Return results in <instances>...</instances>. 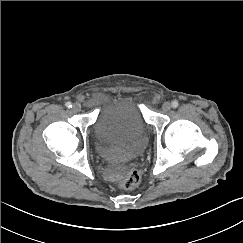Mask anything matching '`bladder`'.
I'll use <instances>...</instances> for the list:
<instances>
[{"instance_id":"bladder-1","label":"bladder","mask_w":243,"mask_h":243,"mask_svg":"<svg viewBox=\"0 0 243 243\" xmlns=\"http://www.w3.org/2000/svg\"><path fill=\"white\" fill-rule=\"evenodd\" d=\"M98 155L109 163L125 165L147 146V129L138 106L131 100L113 96L101 106L92 125Z\"/></svg>"}]
</instances>
